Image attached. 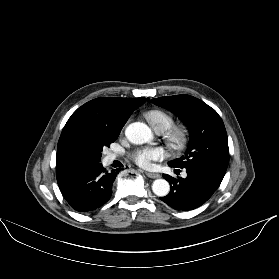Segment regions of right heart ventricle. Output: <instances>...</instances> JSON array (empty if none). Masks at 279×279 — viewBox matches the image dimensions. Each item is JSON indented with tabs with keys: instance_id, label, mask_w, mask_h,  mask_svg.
<instances>
[{
	"instance_id": "e07e8e85",
	"label": "right heart ventricle",
	"mask_w": 279,
	"mask_h": 279,
	"mask_svg": "<svg viewBox=\"0 0 279 279\" xmlns=\"http://www.w3.org/2000/svg\"><path fill=\"white\" fill-rule=\"evenodd\" d=\"M145 117L150 122L152 127L158 132H163L167 130L173 124L172 116L159 109L147 111L145 113Z\"/></svg>"
}]
</instances>
